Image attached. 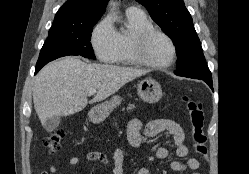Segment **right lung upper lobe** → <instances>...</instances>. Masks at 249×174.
I'll return each instance as SVG.
<instances>
[{"instance_id":"right-lung-upper-lobe-1","label":"right lung upper lobe","mask_w":249,"mask_h":174,"mask_svg":"<svg viewBox=\"0 0 249 174\" xmlns=\"http://www.w3.org/2000/svg\"><path fill=\"white\" fill-rule=\"evenodd\" d=\"M109 0H68L58 10L50 30L67 29L98 21Z\"/></svg>"}]
</instances>
